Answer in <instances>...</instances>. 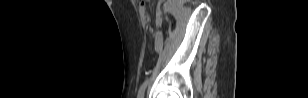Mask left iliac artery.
Wrapping results in <instances>:
<instances>
[{
    "instance_id": "1",
    "label": "left iliac artery",
    "mask_w": 308,
    "mask_h": 98,
    "mask_svg": "<svg viewBox=\"0 0 308 98\" xmlns=\"http://www.w3.org/2000/svg\"><path fill=\"white\" fill-rule=\"evenodd\" d=\"M159 29L160 30H163L164 29V26L163 25H160L159 26ZM162 33V32H161ZM155 38H156V49L159 51L160 49H161V47H162V42H163V37H162V35L160 34V33H157L156 35H155ZM148 83H149V79H146L143 83H142V85L140 86V88H139V91H138V95H137V97L138 98H143L144 97V93H145V89H146V87H147V85H148Z\"/></svg>"
}]
</instances>
